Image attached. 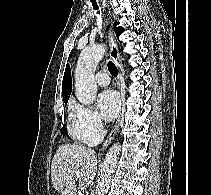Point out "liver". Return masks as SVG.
<instances>
[{
    "mask_svg": "<svg viewBox=\"0 0 211 195\" xmlns=\"http://www.w3.org/2000/svg\"><path fill=\"white\" fill-rule=\"evenodd\" d=\"M98 158L90 148L63 144L56 151L51 166V179L60 195H75L76 172L79 189L88 188L96 176Z\"/></svg>",
    "mask_w": 211,
    "mask_h": 195,
    "instance_id": "liver-1",
    "label": "liver"
}]
</instances>
